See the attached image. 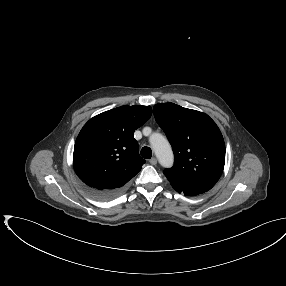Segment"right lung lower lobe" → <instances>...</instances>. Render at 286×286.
<instances>
[{
    "instance_id": "1",
    "label": "right lung lower lobe",
    "mask_w": 286,
    "mask_h": 286,
    "mask_svg": "<svg viewBox=\"0 0 286 286\" xmlns=\"http://www.w3.org/2000/svg\"><path fill=\"white\" fill-rule=\"evenodd\" d=\"M86 190L89 194H91L95 198L102 199V200L110 199L121 193V190H115V191L97 190V189L90 188L87 186H86Z\"/></svg>"
}]
</instances>
